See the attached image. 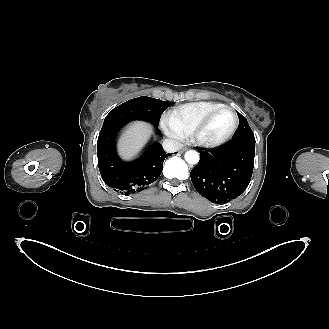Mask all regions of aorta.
<instances>
[{
  "label": "aorta",
  "mask_w": 329,
  "mask_h": 329,
  "mask_svg": "<svg viewBox=\"0 0 329 329\" xmlns=\"http://www.w3.org/2000/svg\"><path fill=\"white\" fill-rule=\"evenodd\" d=\"M184 158L188 164H197L199 162V153L195 150H188Z\"/></svg>",
  "instance_id": "aorta-1"
}]
</instances>
